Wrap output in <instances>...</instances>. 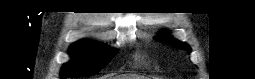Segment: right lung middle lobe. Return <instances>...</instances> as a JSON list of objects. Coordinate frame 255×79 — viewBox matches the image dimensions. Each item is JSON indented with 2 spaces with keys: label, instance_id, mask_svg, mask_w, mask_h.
I'll return each mask as SVG.
<instances>
[{
  "label": "right lung middle lobe",
  "instance_id": "1",
  "mask_svg": "<svg viewBox=\"0 0 255 79\" xmlns=\"http://www.w3.org/2000/svg\"><path fill=\"white\" fill-rule=\"evenodd\" d=\"M72 57L71 62L63 65L61 77L66 76H88L97 73L105 67L110 58L115 56L116 50L107 51L106 48L91 40H81L73 44L69 50ZM109 58L105 61V58Z\"/></svg>",
  "mask_w": 255,
  "mask_h": 79
}]
</instances>
